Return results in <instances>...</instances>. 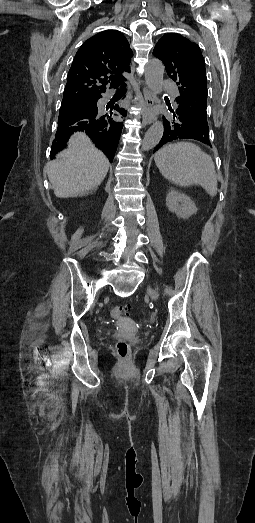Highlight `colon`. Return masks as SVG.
Segmentation results:
<instances>
[{"instance_id": "1", "label": "colon", "mask_w": 255, "mask_h": 523, "mask_svg": "<svg viewBox=\"0 0 255 523\" xmlns=\"http://www.w3.org/2000/svg\"><path fill=\"white\" fill-rule=\"evenodd\" d=\"M130 310V306L129 305H125V306H116L112 309L111 311V314L114 318H121L125 315L128 314ZM129 345L128 343L123 340V339H119L116 343V351H117V354L121 357V358H126L129 354Z\"/></svg>"}]
</instances>
